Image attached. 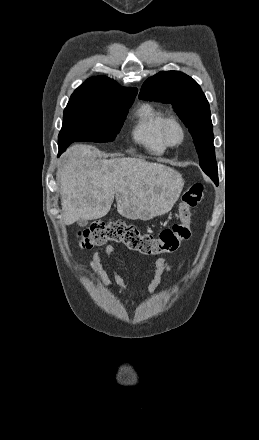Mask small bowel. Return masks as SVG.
Masks as SVG:
<instances>
[{
    "instance_id": "1",
    "label": "small bowel",
    "mask_w": 259,
    "mask_h": 440,
    "mask_svg": "<svg viewBox=\"0 0 259 440\" xmlns=\"http://www.w3.org/2000/svg\"><path fill=\"white\" fill-rule=\"evenodd\" d=\"M105 257L107 260L112 263L114 247L111 244H108L104 250ZM91 271L96 275L98 286L104 285L108 288L118 287L122 291H127V286L123 278L117 273L115 269H112V278L111 279L107 273L103 270L102 260L100 253L95 251L91 257L89 263ZM172 267L169 262L164 258H159L155 262V270L153 274V278L148 285L147 293L152 294L159 284L161 283L162 275L165 272H171Z\"/></svg>"
}]
</instances>
